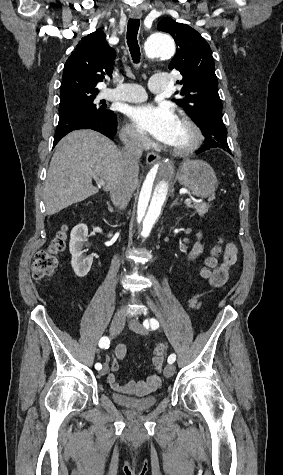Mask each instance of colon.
Returning <instances> with one entry per match:
<instances>
[{"instance_id": "1", "label": "colon", "mask_w": 283, "mask_h": 475, "mask_svg": "<svg viewBox=\"0 0 283 475\" xmlns=\"http://www.w3.org/2000/svg\"><path fill=\"white\" fill-rule=\"evenodd\" d=\"M66 233L60 232L50 243L48 247L38 249L33 258V276L36 279H46L53 274L57 257L63 253L66 247ZM221 251V242L218 241L211 249L210 253L205 257L200 277L208 279L213 275L215 268L219 263V255ZM165 351L162 347L157 346L153 350L152 363L155 366H161L164 363Z\"/></svg>"}]
</instances>
